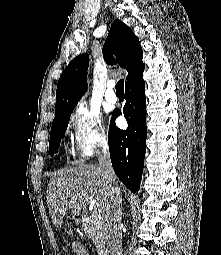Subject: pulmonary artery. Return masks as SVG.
<instances>
[{
  "label": "pulmonary artery",
  "mask_w": 221,
  "mask_h": 255,
  "mask_svg": "<svg viewBox=\"0 0 221 255\" xmlns=\"http://www.w3.org/2000/svg\"><path fill=\"white\" fill-rule=\"evenodd\" d=\"M114 87H115L114 82L113 81H109L107 83V90L105 92V99H106V101L109 102V103H112V104L116 103L117 100H118L117 95H116V93L114 91Z\"/></svg>",
  "instance_id": "pulmonary-artery-1"
}]
</instances>
